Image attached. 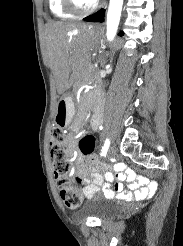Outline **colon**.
I'll return each instance as SVG.
<instances>
[{
	"instance_id": "1",
	"label": "colon",
	"mask_w": 183,
	"mask_h": 246,
	"mask_svg": "<svg viewBox=\"0 0 183 246\" xmlns=\"http://www.w3.org/2000/svg\"><path fill=\"white\" fill-rule=\"evenodd\" d=\"M65 119V113H58V124L53 127L51 131L50 153L53 173L56 178L61 199L67 208L77 209L82 203V179L79 177H71V164L67 158L66 136L62 129ZM95 138H97V133H86V135L80 139L78 151L82 152L84 157H97V152H95Z\"/></svg>"
}]
</instances>
